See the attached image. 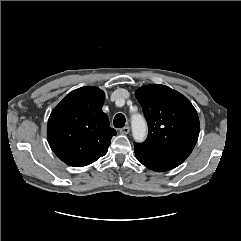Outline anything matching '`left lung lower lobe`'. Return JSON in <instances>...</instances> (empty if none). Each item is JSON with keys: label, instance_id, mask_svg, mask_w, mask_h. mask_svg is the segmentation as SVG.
I'll return each mask as SVG.
<instances>
[{"label": "left lung lower lobe", "instance_id": "left-lung-lower-lobe-1", "mask_svg": "<svg viewBox=\"0 0 241 241\" xmlns=\"http://www.w3.org/2000/svg\"><path fill=\"white\" fill-rule=\"evenodd\" d=\"M135 155L147 168L158 172L179 166L189 156L186 152L156 150L142 144H135Z\"/></svg>", "mask_w": 241, "mask_h": 241}]
</instances>
